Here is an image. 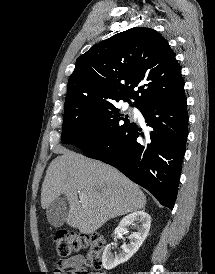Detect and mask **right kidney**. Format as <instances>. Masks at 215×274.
<instances>
[{"label": "right kidney", "instance_id": "1", "mask_svg": "<svg viewBox=\"0 0 215 274\" xmlns=\"http://www.w3.org/2000/svg\"><path fill=\"white\" fill-rule=\"evenodd\" d=\"M136 226L137 232L128 236L129 243L123 244L118 253L113 254L111 244H108L103 252L102 264L106 270H111L116 266L127 262L140 248L146 239L151 225L150 216L144 211H135L125 216L119 223L118 227L114 230V235L119 233H128V226Z\"/></svg>", "mask_w": 215, "mask_h": 274}]
</instances>
